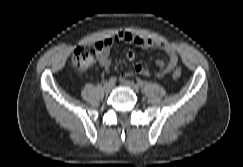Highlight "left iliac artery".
Masks as SVG:
<instances>
[{
	"label": "left iliac artery",
	"instance_id": "44dca946",
	"mask_svg": "<svg viewBox=\"0 0 243 167\" xmlns=\"http://www.w3.org/2000/svg\"><path fill=\"white\" fill-rule=\"evenodd\" d=\"M137 85L140 87H143L145 85V83L142 80H137Z\"/></svg>",
	"mask_w": 243,
	"mask_h": 167
}]
</instances>
